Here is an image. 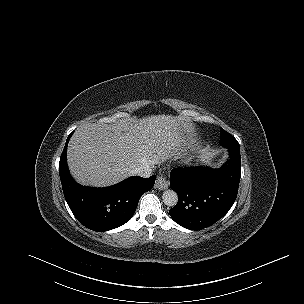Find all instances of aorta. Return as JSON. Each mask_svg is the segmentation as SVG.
Returning <instances> with one entry per match:
<instances>
[{
  "mask_svg": "<svg viewBox=\"0 0 304 304\" xmlns=\"http://www.w3.org/2000/svg\"><path fill=\"white\" fill-rule=\"evenodd\" d=\"M163 203L166 206L174 207L178 203V195L173 190H165L162 195Z\"/></svg>",
  "mask_w": 304,
  "mask_h": 304,
  "instance_id": "762f6f07",
  "label": "aorta"
}]
</instances>
